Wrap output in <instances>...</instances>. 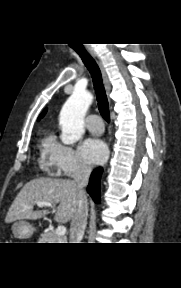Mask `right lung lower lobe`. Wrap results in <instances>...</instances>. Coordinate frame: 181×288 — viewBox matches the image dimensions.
<instances>
[{
    "label": "right lung lower lobe",
    "instance_id": "right-lung-lower-lobe-1",
    "mask_svg": "<svg viewBox=\"0 0 181 288\" xmlns=\"http://www.w3.org/2000/svg\"><path fill=\"white\" fill-rule=\"evenodd\" d=\"M102 174V169H95L90 177L87 192L91 195L95 202H99V182Z\"/></svg>",
    "mask_w": 181,
    "mask_h": 288
}]
</instances>
